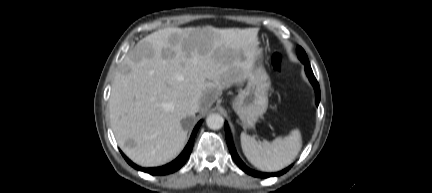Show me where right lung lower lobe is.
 Returning a JSON list of instances; mask_svg holds the SVG:
<instances>
[{
  "instance_id": "98d812e1",
  "label": "right lung lower lobe",
  "mask_w": 432,
  "mask_h": 193,
  "mask_svg": "<svg viewBox=\"0 0 432 193\" xmlns=\"http://www.w3.org/2000/svg\"><path fill=\"white\" fill-rule=\"evenodd\" d=\"M201 123H202V121H199L198 124L195 126V128L192 132V135L190 137V140H189L188 144L186 145V147L184 148V150L182 151V153L174 161H172L171 163L164 165L162 167L141 168V167L135 165L134 163H132L122 152L121 153H122L123 157L125 158V160L132 167H134L137 170L149 173L151 175H164V174H169V173L175 172L179 168H181V166L185 163V161L189 157V155L192 151L195 135H196Z\"/></svg>"
}]
</instances>
